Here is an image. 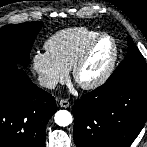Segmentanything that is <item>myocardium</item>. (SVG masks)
Listing matches in <instances>:
<instances>
[{"label":"myocardium","mask_w":147,"mask_h":147,"mask_svg":"<svg viewBox=\"0 0 147 147\" xmlns=\"http://www.w3.org/2000/svg\"><path fill=\"white\" fill-rule=\"evenodd\" d=\"M103 39H109L112 43V55L110 58V61L106 67V69L94 80L86 83H82L79 80L80 71L87 62L88 58L90 57L94 47L97 45L98 42H100ZM119 55V48L116 39L108 34V33H99L94 38H92L77 60L75 61L73 67H72V75L74 78V81L83 89L85 90H94L102 86L104 83L107 82V80L111 77L112 73L114 72L117 60Z\"/></svg>","instance_id":"myocardium-1"}]
</instances>
